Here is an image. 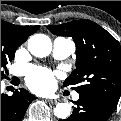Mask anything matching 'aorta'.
Returning <instances> with one entry per match:
<instances>
[{
  "label": "aorta",
  "instance_id": "obj_1",
  "mask_svg": "<svg viewBox=\"0 0 121 121\" xmlns=\"http://www.w3.org/2000/svg\"><path fill=\"white\" fill-rule=\"evenodd\" d=\"M28 49L30 53L36 57H46L52 50V42L45 34H35L28 40ZM71 107L68 103H58L54 108V114L60 119L69 117Z\"/></svg>",
  "mask_w": 121,
  "mask_h": 121
}]
</instances>
